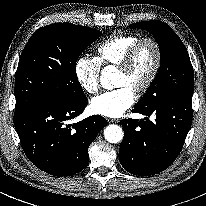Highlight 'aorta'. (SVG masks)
<instances>
[{
	"label": "aorta",
	"mask_w": 206,
	"mask_h": 206,
	"mask_svg": "<svg viewBox=\"0 0 206 206\" xmlns=\"http://www.w3.org/2000/svg\"><path fill=\"white\" fill-rule=\"evenodd\" d=\"M113 67H106L101 74L100 82L104 88H108L112 84V78L114 75ZM105 139L110 143H119L123 139V130L120 126L115 124L108 125L104 130Z\"/></svg>",
	"instance_id": "1"
}]
</instances>
